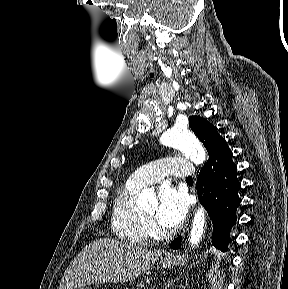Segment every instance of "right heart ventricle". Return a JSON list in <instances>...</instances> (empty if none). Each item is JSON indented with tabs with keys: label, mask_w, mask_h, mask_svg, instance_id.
Returning a JSON list of instances; mask_svg holds the SVG:
<instances>
[{
	"label": "right heart ventricle",
	"mask_w": 288,
	"mask_h": 289,
	"mask_svg": "<svg viewBox=\"0 0 288 289\" xmlns=\"http://www.w3.org/2000/svg\"><path fill=\"white\" fill-rule=\"evenodd\" d=\"M141 188L127 181L113 201L111 228L115 236L130 244H143L148 235L147 220L135 204Z\"/></svg>",
	"instance_id": "right-heart-ventricle-1"
}]
</instances>
